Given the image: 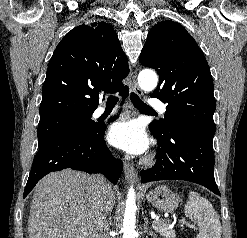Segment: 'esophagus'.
<instances>
[{
  "label": "esophagus",
  "mask_w": 247,
  "mask_h": 238,
  "mask_svg": "<svg viewBox=\"0 0 247 238\" xmlns=\"http://www.w3.org/2000/svg\"><path fill=\"white\" fill-rule=\"evenodd\" d=\"M132 90L140 96L143 94L142 90L137 85L134 73L132 74ZM124 175L127 180H137V175L134 170V167L128 162L124 163ZM139 187L141 186L139 185Z\"/></svg>",
  "instance_id": "obj_1"
}]
</instances>
